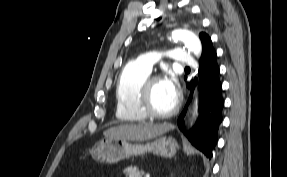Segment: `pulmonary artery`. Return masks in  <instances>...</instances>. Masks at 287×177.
<instances>
[{"label": "pulmonary artery", "instance_id": "1", "mask_svg": "<svg viewBox=\"0 0 287 177\" xmlns=\"http://www.w3.org/2000/svg\"><path fill=\"white\" fill-rule=\"evenodd\" d=\"M168 56L172 58L176 65L191 67L196 64L194 57H192L184 48H172L168 51ZM157 60V53L149 51L134 59L133 62L151 72L152 67Z\"/></svg>", "mask_w": 287, "mask_h": 177}]
</instances>
